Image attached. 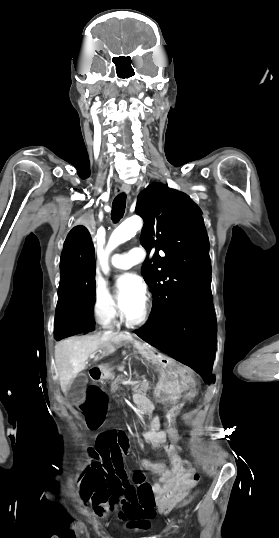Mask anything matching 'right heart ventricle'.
Returning a JSON list of instances; mask_svg holds the SVG:
<instances>
[{"instance_id":"e07e8e85","label":"right heart ventricle","mask_w":279,"mask_h":538,"mask_svg":"<svg viewBox=\"0 0 279 538\" xmlns=\"http://www.w3.org/2000/svg\"><path fill=\"white\" fill-rule=\"evenodd\" d=\"M134 222H135V218H134L133 212L128 211L118 221L113 235L115 237H123L126 234H131Z\"/></svg>"}]
</instances>
